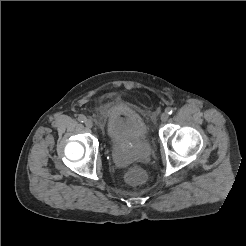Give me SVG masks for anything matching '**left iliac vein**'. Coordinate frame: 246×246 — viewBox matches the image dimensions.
<instances>
[{"instance_id":"left-iliac-vein-1","label":"left iliac vein","mask_w":246,"mask_h":246,"mask_svg":"<svg viewBox=\"0 0 246 246\" xmlns=\"http://www.w3.org/2000/svg\"><path fill=\"white\" fill-rule=\"evenodd\" d=\"M168 118H169V115L167 112L162 113L160 116V119L162 122H166L168 120Z\"/></svg>"}]
</instances>
